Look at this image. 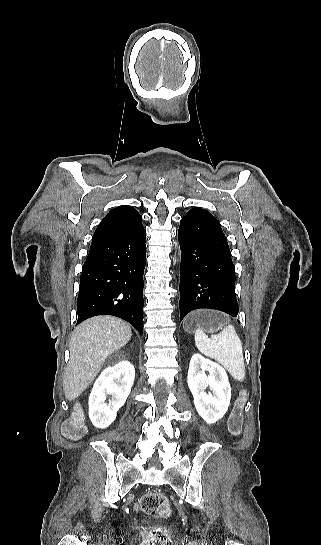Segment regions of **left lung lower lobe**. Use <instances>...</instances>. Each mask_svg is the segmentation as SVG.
<instances>
[{
    "label": "left lung lower lobe",
    "instance_id": "0a47b994",
    "mask_svg": "<svg viewBox=\"0 0 321 545\" xmlns=\"http://www.w3.org/2000/svg\"><path fill=\"white\" fill-rule=\"evenodd\" d=\"M178 234L183 252L180 321L201 308L236 317L235 268L218 220L202 208H193L181 219Z\"/></svg>",
    "mask_w": 321,
    "mask_h": 545
}]
</instances>
